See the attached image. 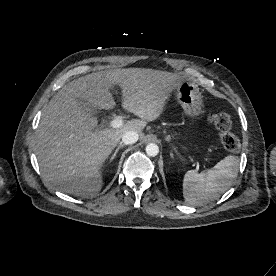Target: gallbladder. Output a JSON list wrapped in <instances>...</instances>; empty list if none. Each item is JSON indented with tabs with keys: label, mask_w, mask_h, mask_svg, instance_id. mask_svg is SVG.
<instances>
[{
	"label": "gallbladder",
	"mask_w": 276,
	"mask_h": 276,
	"mask_svg": "<svg viewBox=\"0 0 276 276\" xmlns=\"http://www.w3.org/2000/svg\"><path fill=\"white\" fill-rule=\"evenodd\" d=\"M77 101L79 102L81 107H83L88 112H90L92 114L96 113V109L94 107H92L91 105H89L86 101H84L82 99H78Z\"/></svg>",
	"instance_id": "bac80fb5"
}]
</instances>
